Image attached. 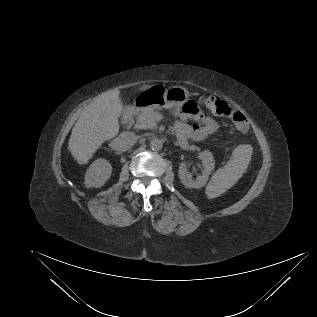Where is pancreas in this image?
Here are the masks:
<instances>
[{"label":"pancreas","mask_w":317,"mask_h":317,"mask_svg":"<svg viewBox=\"0 0 317 317\" xmlns=\"http://www.w3.org/2000/svg\"><path fill=\"white\" fill-rule=\"evenodd\" d=\"M157 115L156 108L149 107L142 109L137 115L136 128L138 129H154L157 127L155 116Z\"/></svg>","instance_id":"1"}]
</instances>
